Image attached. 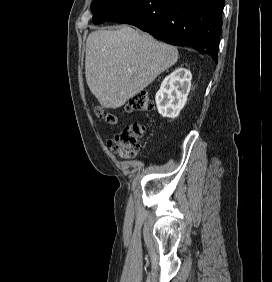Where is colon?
Wrapping results in <instances>:
<instances>
[{
	"label": "colon",
	"mask_w": 272,
	"mask_h": 282,
	"mask_svg": "<svg viewBox=\"0 0 272 282\" xmlns=\"http://www.w3.org/2000/svg\"><path fill=\"white\" fill-rule=\"evenodd\" d=\"M154 107L148 94L134 95L124 107L125 113L148 112ZM99 117L111 124L119 122L120 118L102 108H97ZM146 127L142 123H132L113 134L108 140L109 149L124 159H131L137 156L140 150V141L144 137Z\"/></svg>",
	"instance_id": "5ec220e1"
}]
</instances>
